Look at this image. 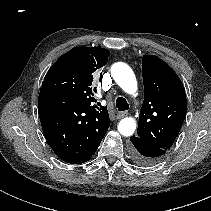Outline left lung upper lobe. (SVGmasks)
I'll list each match as a JSON object with an SVG mask.
<instances>
[{"label": "left lung upper lobe", "instance_id": "1", "mask_svg": "<svg viewBox=\"0 0 211 211\" xmlns=\"http://www.w3.org/2000/svg\"><path fill=\"white\" fill-rule=\"evenodd\" d=\"M142 77L144 102L136 136L167 151L185 119L187 101L184 86L173 69L157 56H143Z\"/></svg>", "mask_w": 211, "mask_h": 211}]
</instances>
